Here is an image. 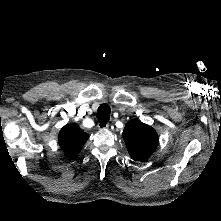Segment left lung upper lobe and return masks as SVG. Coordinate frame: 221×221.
Segmentation results:
<instances>
[{"instance_id": "1", "label": "left lung upper lobe", "mask_w": 221, "mask_h": 221, "mask_svg": "<svg viewBox=\"0 0 221 221\" xmlns=\"http://www.w3.org/2000/svg\"><path fill=\"white\" fill-rule=\"evenodd\" d=\"M123 138L131 158L135 161L148 159L158 144L156 131L139 120H132L126 124Z\"/></svg>"}]
</instances>
